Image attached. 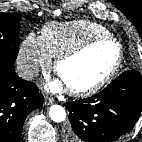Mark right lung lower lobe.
Instances as JSON below:
<instances>
[{"label":"right lung lower lobe","instance_id":"right-lung-lower-lobe-1","mask_svg":"<svg viewBox=\"0 0 142 142\" xmlns=\"http://www.w3.org/2000/svg\"><path fill=\"white\" fill-rule=\"evenodd\" d=\"M44 97L15 68L0 64V142H20L27 115L43 105Z\"/></svg>","mask_w":142,"mask_h":142}]
</instances>
